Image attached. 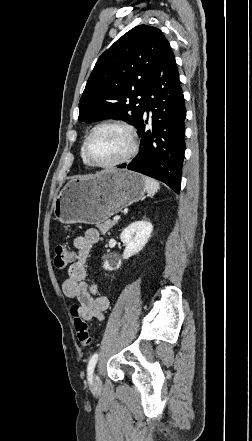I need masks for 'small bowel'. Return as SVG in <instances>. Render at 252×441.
<instances>
[{
  "mask_svg": "<svg viewBox=\"0 0 252 441\" xmlns=\"http://www.w3.org/2000/svg\"><path fill=\"white\" fill-rule=\"evenodd\" d=\"M99 240L96 229H88L74 239L77 253H73V263L69 266L67 277L62 283V291L69 299H76L86 320H102L109 307L108 298L99 292L94 284L86 281V262L94 244Z\"/></svg>",
  "mask_w": 252,
  "mask_h": 441,
  "instance_id": "small-bowel-1",
  "label": "small bowel"
}]
</instances>
